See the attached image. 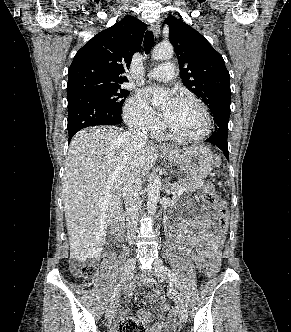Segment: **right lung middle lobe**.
I'll use <instances>...</instances> for the list:
<instances>
[{"label": "right lung middle lobe", "instance_id": "obj_1", "mask_svg": "<svg viewBox=\"0 0 291 332\" xmlns=\"http://www.w3.org/2000/svg\"><path fill=\"white\" fill-rule=\"evenodd\" d=\"M129 91L122 89L120 85L88 90L82 94L96 97L121 113L122 105L129 95Z\"/></svg>", "mask_w": 291, "mask_h": 332}]
</instances>
